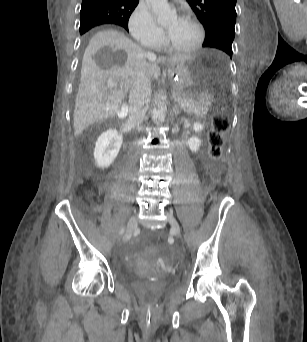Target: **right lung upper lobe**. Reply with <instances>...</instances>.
<instances>
[{
  "label": "right lung upper lobe",
  "mask_w": 307,
  "mask_h": 342,
  "mask_svg": "<svg viewBox=\"0 0 307 342\" xmlns=\"http://www.w3.org/2000/svg\"><path fill=\"white\" fill-rule=\"evenodd\" d=\"M139 0H82L81 11H105L116 15L113 23L128 30V20Z\"/></svg>",
  "instance_id": "cb5924a9"
}]
</instances>
